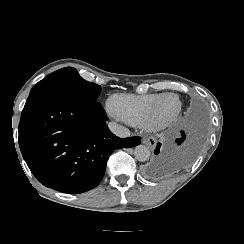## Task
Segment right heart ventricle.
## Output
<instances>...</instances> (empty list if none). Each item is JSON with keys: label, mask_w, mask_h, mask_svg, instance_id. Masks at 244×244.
I'll return each mask as SVG.
<instances>
[{"label": "right heart ventricle", "mask_w": 244, "mask_h": 244, "mask_svg": "<svg viewBox=\"0 0 244 244\" xmlns=\"http://www.w3.org/2000/svg\"><path fill=\"white\" fill-rule=\"evenodd\" d=\"M156 98L157 95H117L112 99V109L126 123L144 125L152 118Z\"/></svg>", "instance_id": "obj_1"}]
</instances>
